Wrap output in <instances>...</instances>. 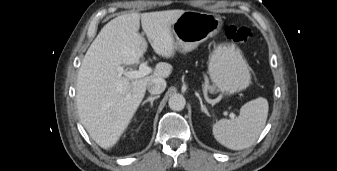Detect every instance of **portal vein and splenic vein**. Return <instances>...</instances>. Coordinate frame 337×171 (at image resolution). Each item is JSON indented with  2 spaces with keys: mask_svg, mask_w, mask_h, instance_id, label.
<instances>
[{
  "mask_svg": "<svg viewBox=\"0 0 337 171\" xmlns=\"http://www.w3.org/2000/svg\"><path fill=\"white\" fill-rule=\"evenodd\" d=\"M118 72L120 74H123L124 76L128 77L129 79H135V78H141L144 77L148 74H150L152 72V69L148 66L147 62H143L140 64L139 69L138 70H124V68L122 66H118L117 68ZM230 118H234L235 114L234 113H230Z\"/></svg>",
  "mask_w": 337,
  "mask_h": 171,
  "instance_id": "obj_1",
  "label": "portal vein and splenic vein"
}]
</instances>
